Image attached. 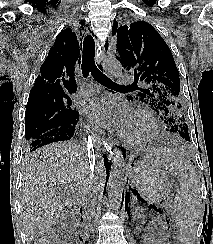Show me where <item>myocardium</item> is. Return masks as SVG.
I'll return each mask as SVG.
<instances>
[{"label":"myocardium","mask_w":213,"mask_h":244,"mask_svg":"<svg viewBox=\"0 0 213 244\" xmlns=\"http://www.w3.org/2000/svg\"><path fill=\"white\" fill-rule=\"evenodd\" d=\"M134 116L143 118L149 126L148 132L141 137H129L123 133L120 134L122 141L130 145H143L153 141L159 132V125L156 117L146 109H137Z\"/></svg>","instance_id":"1"}]
</instances>
